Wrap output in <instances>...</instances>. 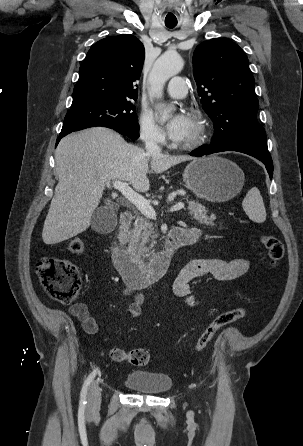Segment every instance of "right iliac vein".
I'll return each instance as SVG.
<instances>
[{
    "label": "right iliac vein",
    "mask_w": 303,
    "mask_h": 446,
    "mask_svg": "<svg viewBox=\"0 0 303 446\" xmlns=\"http://www.w3.org/2000/svg\"><path fill=\"white\" fill-rule=\"evenodd\" d=\"M101 401V393L98 383H94L91 386L89 399H88V408L90 411L97 410Z\"/></svg>",
    "instance_id": "1"
}]
</instances>
